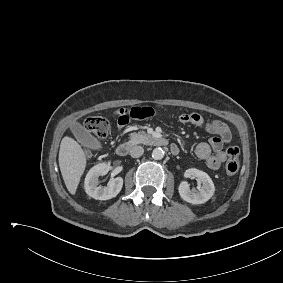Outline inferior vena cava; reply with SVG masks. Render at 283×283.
<instances>
[{"mask_svg":"<svg viewBox=\"0 0 283 283\" xmlns=\"http://www.w3.org/2000/svg\"><path fill=\"white\" fill-rule=\"evenodd\" d=\"M144 153V149L141 146H133L130 150V156L133 158H138Z\"/></svg>","mask_w":283,"mask_h":283,"instance_id":"obj_1","label":"inferior vena cava"}]
</instances>
